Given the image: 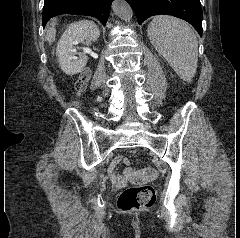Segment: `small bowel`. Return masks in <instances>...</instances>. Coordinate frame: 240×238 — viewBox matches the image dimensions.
Returning <instances> with one entry per match:
<instances>
[{
    "instance_id": "obj_1",
    "label": "small bowel",
    "mask_w": 240,
    "mask_h": 238,
    "mask_svg": "<svg viewBox=\"0 0 240 238\" xmlns=\"http://www.w3.org/2000/svg\"><path fill=\"white\" fill-rule=\"evenodd\" d=\"M120 164L129 165V160L123 155H118L109 167V176L112 182H107V187H129V182L118 173L117 168Z\"/></svg>"
}]
</instances>
